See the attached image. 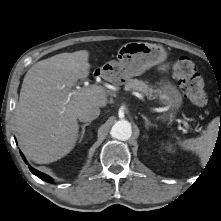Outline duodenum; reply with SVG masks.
I'll return each mask as SVG.
<instances>
[{
  "instance_id": "duodenum-1",
  "label": "duodenum",
  "mask_w": 221,
  "mask_h": 221,
  "mask_svg": "<svg viewBox=\"0 0 221 221\" xmlns=\"http://www.w3.org/2000/svg\"><path fill=\"white\" fill-rule=\"evenodd\" d=\"M103 70H101V69H99V70H97L96 72H95V76L96 77H102L103 76Z\"/></svg>"
}]
</instances>
